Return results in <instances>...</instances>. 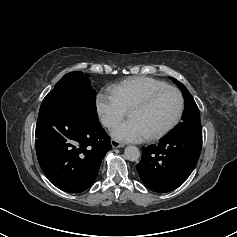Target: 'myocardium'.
<instances>
[{"mask_svg": "<svg viewBox=\"0 0 237 237\" xmlns=\"http://www.w3.org/2000/svg\"><path fill=\"white\" fill-rule=\"evenodd\" d=\"M167 90L175 92L176 95L178 96L179 105H178L177 113L174 116V118L171 120V122L168 125H166L163 129H161L160 131L148 136L147 140H149V141H154V140L160 139L161 137L166 135L170 130H172L178 124V122L181 119V116L183 114V111H184V97H183L181 91L178 88L170 86V85L160 87V88L154 89V90L150 91L149 93H147L145 96H143L141 99L136 101L129 108V112H130L131 110H133L135 108L146 107L152 102V100L157 95H159L160 93H162L164 91H167Z\"/></svg>", "mask_w": 237, "mask_h": 237, "instance_id": "f54148a6", "label": "myocardium"}]
</instances>
